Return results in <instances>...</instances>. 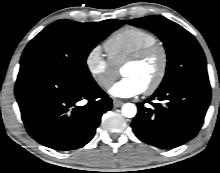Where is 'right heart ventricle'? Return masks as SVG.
I'll return each instance as SVG.
<instances>
[{
	"label": "right heart ventricle",
	"mask_w": 220,
	"mask_h": 173,
	"mask_svg": "<svg viewBox=\"0 0 220 173\" xmlns=\"http://www.w3.org/2000/svg\"><path fill=\"white\" fill-rule=\"evenodd\" d=\"M157 43L156 36L144 29L127 26L113 33L104 47L109 60L118 68L138 51Z\"/></svg>",
	"instance_id": "e07e8e85"
}]
</instances>
